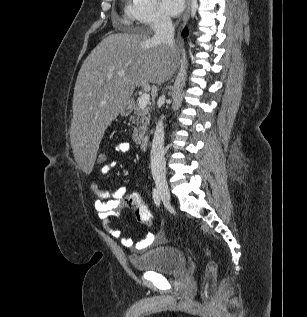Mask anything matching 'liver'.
Instances as JSON below:
<instances>
[{
  "label": "liver",
  "instance_id": "obj_1",
  "mask_svg": "<svg viewBox=\"0 0 307 317\" xmlns=\"http://www.w3.org/2000/svg\"><path fill=\"white\" fill-rule=\"evenodd\" d=\"M176 60L174 50L155 42L146 31L110 34L93 49L77 76L70 129L83 175H92L104 132L135 87L168 80Z\"/></svg>",
  "mask_w": 307,
  "mask_h": 317
}]
</instances>
